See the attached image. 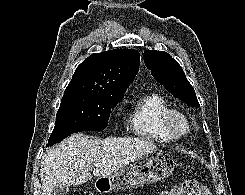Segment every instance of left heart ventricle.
<instances>
[{
	"mask_svg": "<svg viewBox=\"0 0 245 195\" xmlns=\"http://www.w3.org/2000/svg\"><path fill=\"white\" fill-rule=\"evenodd\" d=\"M175 125H176V128H177L178 130H180V131H183V130L185 129V124H184V122L181 121V120H177V121L175 122Z\"/></svg>",
	"mask_w": 245,
	"mask_h": 195,
	"instance_id": "1",
	"label": "left heart ventricle"
}]
</instances>
